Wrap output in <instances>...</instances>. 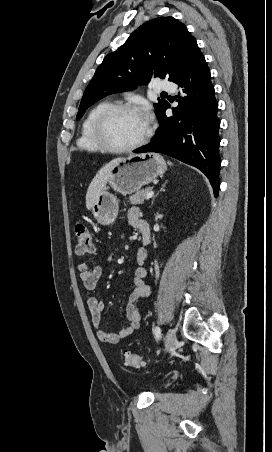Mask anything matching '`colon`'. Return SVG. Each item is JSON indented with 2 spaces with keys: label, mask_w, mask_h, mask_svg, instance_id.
Listing matches in <instances>:
<instances>
[{
  "label": "colon",
  "mask_w": 272,
  "mask_h": 452,
  "mask_svg": "<svg viewBox=\"0 0 272 452\" xmlns=\"http://www.w3.org/2000/svg\"><path fill=\"white\" fill-rule=\"evenodd\" d=\"M75 234L77 244L75 251L78 255L93 253L95 250L94 236L87 225L83 222H77L75 225ZM125 364L131 367L140 368L144 365V360L138 354L126 353Z\"/></svg>",
  "instance_id": "5ec220e1"
}]
</instances>
